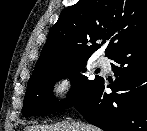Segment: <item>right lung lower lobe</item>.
Listing matches in <instances>:
<instances>
[{"label": "right lung lower lobe", "mask_w": 147, "mask_h": 131, "mask_svg": "<svg viewBox=\"0 0 147 131\" xmlns=\"http://www.w3.org/2000/svg\"><path fill=\"white\" fill-rule=\"evenodd\" d=\"M109 58L114 84L101 77L74 107L104 131H147V36ZM107 87L113 93L107 94Z\"/></svg>", "instance_id": "right-lung-lower-lobe-1"}]
</instances>
